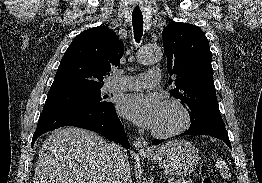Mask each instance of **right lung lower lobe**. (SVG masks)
I'll use <instances>...</instances> for the list:
<instances>
[{
	"label": "right lung lower lobe",
	"instance_id": "98d812e1",
	"mask_svg": "<svg viewBox=\"0 0 262 183\" xmlns=\"http://www.w3.org/2000/svg\"><path fill=\"white\" fill-rule=\"evenodd\" d=\"M62 126H76L92 130L120 143L125 148H130L114 105L102 109L67 105L44 106L33 135L32 147L40 135Z\"/></svg>",
	"mask_w": 262,
	"mask_h": 183
}]
</instances>
